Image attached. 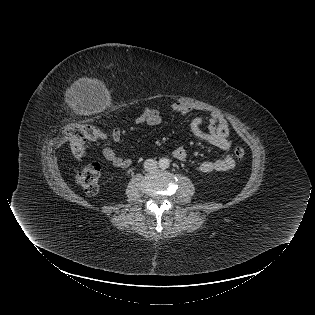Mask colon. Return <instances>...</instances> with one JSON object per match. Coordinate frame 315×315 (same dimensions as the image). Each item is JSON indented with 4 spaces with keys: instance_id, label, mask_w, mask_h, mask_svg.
<instances>
[{
    "instance_id": "5ec220e1",
    "label": "colon",
    "mask_w": 315,
    "mask_h": 315,
    "mask_svg": "<svg viewBox=\"0 0 315 315\" xmlns=\"http://www.w3.org/2000/svg\"><path fill=\"white\" fill-rule=\"evenodd\" d=\"M70 149L77 160H82L85 154L86 143L93 140L103 139L104 133L95 127L87 125H77L68 132ZM234 155L238 160L245 156V150L237 146L234 148ZM101 167L98 163L92 162L77 169L76 180L87 194L93 195L98 192Z\"/></svg>"
}]
</instances>
